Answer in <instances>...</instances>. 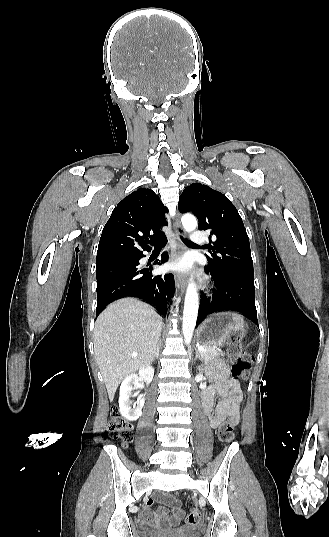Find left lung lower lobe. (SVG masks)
Here are the masks:
<instances>
[{"label": "left lung lower lobe", "instance_id": "obj_1", "mask_svg": "<svg viewBox=\"0 0 329 537\" xmlns=\"http://www.w3.org/2000/svg\"><path fill=\"white\" fill-rule=\"evenodd\" d=\"M206 271L212 276L215 287L210 295L201 294L196 326L203 316L216 311L239 312L258 325L254 279Z\"/></svg>", "mask_w": 329, "mask_h": 537}]
</instances>
